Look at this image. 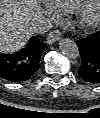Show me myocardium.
<instances>
[{
    "instance_id": "myocardium-1",
    "label": "myocardium",
    "mask_w": 100,
    "mask_h": 118,
    "mask_svg": "<svg viewBox=\"0 0 100 118\" xmlns=\"http://www.w3.org/2000/svg\"><path fill=\"white\" fill-rule=\"evenodd\" d=\"M100 0H88L80 9L76 16V24L81 28L93 27L99 20Z\"/></svg>"
}]
</instances>
